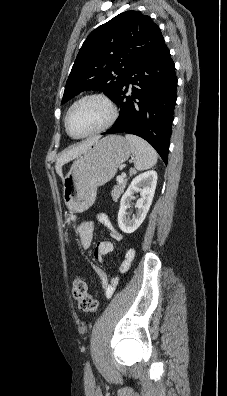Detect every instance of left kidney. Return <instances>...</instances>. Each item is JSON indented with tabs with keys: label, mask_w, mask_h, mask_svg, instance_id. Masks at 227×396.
Returning <instances> with one entry per match:
<instances>
[{
	"label": "left kidney",
	"mask_w": 227,
	"mask_h": 396,
	"mask_svg": "<svg viewBox=\"0 0 227 396\" xmlns=\"http://www.w3.org/2000/svg\"><path fill=\"white\" fill-rule=\"evenodd\" d=\"M157 184V172L150 170L137 175L129 185L127 191L121 198L120 209L118 212V225L121 231L130 234L133 233L142 224L149 208L152 204ZM139 193L140 198L137 200L135 207L136 213L130 218L131 208L134 194Z\"/></svg>",
	"instance_id": "1"
}]
</instances>
